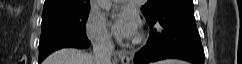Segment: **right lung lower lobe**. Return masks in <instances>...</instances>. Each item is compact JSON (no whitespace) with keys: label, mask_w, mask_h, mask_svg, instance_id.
Instances as JSON below:
<instances>
[{"label":"right lung lower lobe","mask_w":242,"mask_h":64,"mask_svg":"<svg viewBox=\"0 0 242 64\" xmlns=\"http://www.w3.org/2000/svg\"><path fill=\"white\" fill-rule=\"evenodd\" d=\"M42 61H43V59H42V60H39V64H40Z\"/></svg>","instance_id":"1"}]
</instances>
